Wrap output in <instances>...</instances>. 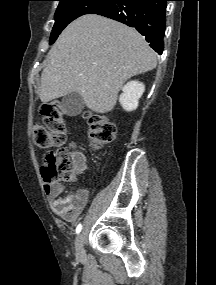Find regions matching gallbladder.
Returning a JSON list of instances; mask_svg holds the SVG:
<instances>
[{
	"label": "gallbladder",
	"mask_w": 216,
	"mask_h": 285,
	"mask_svg": "<svg viewBox=\"0 0 216 285\" xmlns=\"http://www.w3.org/2000/svg\"><path fill=\"white\" fill-rule=\"evenodd\" d=\"M84 107L82 96L77 92L69 93L62 99V108L65 114L69 116H77L81 113Z\"/></svg>",
	"instance_id": "bac80fb5"
}]
</instances>
